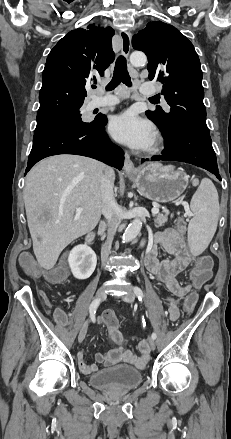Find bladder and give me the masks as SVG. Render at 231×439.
<instances>
[{"label": "bladder", "instance_id": "obj_1", "mask_svg": "<svg viewBox=\"0 0 231 439\" xmlns=\"http://www.w3.org/2000/svg\"><path fill=\"white\" fill-rule=\"evenodd\" d=\"M143 380L142 373L129 366H116L100 370L88 377V383L96 388L113 391H127L138 387Z\"/></svg>", "mask_w": 231, "mask_h": 439}]
</instances>
